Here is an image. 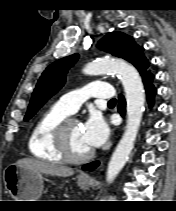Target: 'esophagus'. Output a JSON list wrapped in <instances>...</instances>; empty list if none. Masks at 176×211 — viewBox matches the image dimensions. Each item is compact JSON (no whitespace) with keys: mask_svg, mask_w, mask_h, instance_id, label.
<instances>
[{"mask_svg":"<svg viewBox=\"0 0 176 211\" xmlns=\"http://www.w3.org/2000/svg\"><path fill=\"white\" fill-rule=\"evenodd\" d=\"M81 177L84 178V179H88L89 178V176L87 174H84V173L81 174Z\"/></svg>","mask_w":176,"mask_h":211,"instance_id":"obj_1","label":"esophagus"}]
</instances>
